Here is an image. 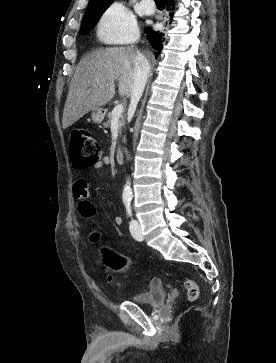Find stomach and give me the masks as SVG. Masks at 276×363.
Returning a JSON list of instances; mask_svg holds the SVG:
<instances>
[{"instance_id": "obj_1", "label": "stomach", "mask_w": 276, "mask_h": 363, "mask_svg": "<svg viewBox=\"0 0 276 363\" xmlns=\"http://www.w3.org/2000/svg\"><path fill=\"white\" fill-rule=\"evenodd\" d=\"M105 114L106 110L102 107L92 110L91 113L92 121L96 124H100L103 121Z\"/></svg>"}]
</instances>
